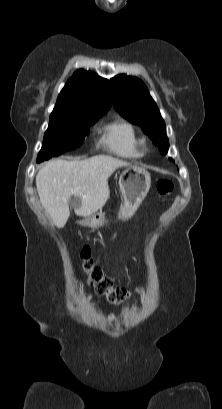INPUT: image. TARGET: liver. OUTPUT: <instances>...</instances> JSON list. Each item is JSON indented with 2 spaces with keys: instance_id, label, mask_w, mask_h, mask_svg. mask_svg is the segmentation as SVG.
Returning a JSON list of instances; mask_svg holds the SVG:
<instances>
[{
  "instance_id": "1",
  "label": "liver",
  "mask_w": 222,
  "mask_h": 409,
  "mask_svg": "<svg viewBox=\"0 0 222 409\" xmlns=\"http://www.w3.org/2000/svg\"><path fill=\"white\" fill-rule=\"evenodd\" d=\"M130 164L109 155H96L84 160H51L36 176L40 202L58 228L70 216L69 200L77 199L75 214L87 217L101 209L110 197L108 179L119 167Z\"/></svg>"
}]
</instances>
